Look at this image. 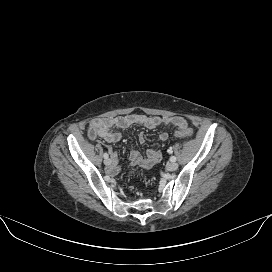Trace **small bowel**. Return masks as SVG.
<instances>
[{
	"instance_id": "1",
	"label": "small bowel",
	"mask_w": 272,
	"mask_h": 272,
	"mask_svg": "<svg viewBox=\"0 0 272 272\" xmlns=\"http://www.w3.org/2000/svg\"><path fill=\"white\" fill-rule=\"evenodd\" d=\"M132 125H140L148 129H154L160 125H172L178 127H187V121L181 116H146L142 114H128L115 117L94 119L90 122L88 127V137L95 140L98 137L103 138L109 143H115L122 137L121 133L114 132L112 128L117 127L121 129L128 128ZM159 139L165 141L168 139L166 132L159 134ZM140 142H144L143 135L139 137ZM113 160L116 158L115 152L110 149ZM161 160V152L155 149H149L146 156L143 157L138 151L132 149L129 154V163L132 166H139L143 169H150ZM119 171L116 165L110 168V172L115 174Z\"/></svg>"
}]
</instances>
